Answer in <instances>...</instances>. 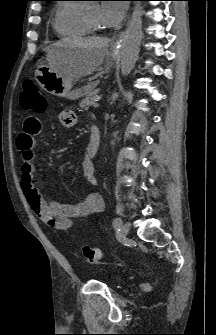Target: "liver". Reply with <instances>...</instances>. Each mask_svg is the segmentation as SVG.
<instances>
[{"label":"liver","instance_id":"liver-1","mask_svg":"<svg viewBox=\"0 0 216 335\" xmlns=\"http://www.w3.org/2000/svg\"><path fill=\"white\" fill-rule=\"evenodd\" d=\"M57 46H71L78 49L70 61L62 69V72L69 75L72 79L92 74L99 69L104 61L108 39L106 38H82L76 41L63 39Z\"/></svg>","mask_w":216,"mask_h":335}]
</instances>
